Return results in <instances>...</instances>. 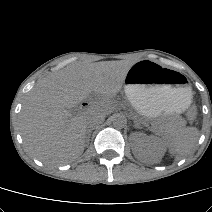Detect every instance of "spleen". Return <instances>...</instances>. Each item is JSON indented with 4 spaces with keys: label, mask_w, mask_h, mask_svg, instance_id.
<instances>
[{
    "label": "spleen",
    "mask_w": 212,
    "mask_h": 212,
    "mask_svg": "<svg viewBox=\"0 0 212 212\" xmlns=\"http://www.w3.org/2000/svg\"><path fill=\"white\" fill-rule=\"evenodd\" d=\"M199 131L188 127L177 133L168 143L169 152L177 158L189 154L197 140Z\"/></svg>",
    "instance_id": "spleen-1"
}]
</instances>
